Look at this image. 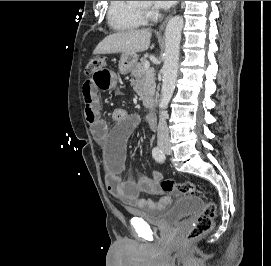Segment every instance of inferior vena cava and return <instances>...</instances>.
I'll return each mask as SVG.
<instances>
[{
  "instance_id": "obj_1",
  "label": "inferior vena cava",
  "mask_w": 271,
  "mask_h": 266,
  "mask_svg": "<svg viewBox=\"0 0 271 266\" xmlns=\"http://www.w3.org/2000/svg\"><path fill=\"white\" fill-rule=\"evenodd\" d=\"M157 138L158 142L168 141L169 140V131L166 123L165 112L161 111L159 115V123L157 129Z\"/></svg>"
}]
</instances>
